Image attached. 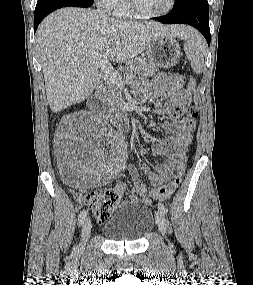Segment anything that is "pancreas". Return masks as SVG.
Listing matches in <instances>:
<instances>
[{
	"instance_id": "cf45deb5",
	"label": "pancreas",
	"mask_w": 253,
	"mask_h": 285,
	"mask_svg": "<svg viewBox=\"0 0 253 285\" xmlns=\"http://www.w3.org/2000/svg\"><path fill=\"white\" fill-rule=\"evenodd\" d=\"M158 71V67L152 66L147 62H135L122 70L123 73H134L138 77L153 76ZM121 85L122 84H114L107 79L99 89V94L103 101V105L110 112L117 111L119 101L122 99V95L119 90Z\"/></svg>"
}]
</instances>
